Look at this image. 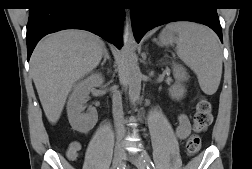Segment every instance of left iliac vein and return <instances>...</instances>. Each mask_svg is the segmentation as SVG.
<instances>
[{"instance_id":"left-iliac-vein-1","label":"left iliac vein","mask_w":252,"mask_h":169,"mask_svg":"<svg viewBox=\"0 0 252 169\" xmlns=\"http://www.w3.org/2000/svg\"><path fill=\"white\" fill-rule=\"evenodd\" d=\"M124 159H129L138 169H146V163L143 158L135 152H133L130 156L125 154Z\"/></svg>"}]
</instances>
